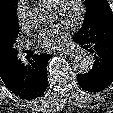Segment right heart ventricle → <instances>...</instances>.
<instances>
[{"label": "right heart ventricle", "instance_id": "e07e8e85", "mask_svg": "<svg viewBox=\"0 0 113 113\" xmlns=\"http://www.w3.org/2000/svg\"><path fill=\"white\" fill-rule=\"evenodd\" d=\"M40 1L43 2V3H45V4H47V5H49V6H53V7L58 2V0H40Z\"/></svg>", "mask_w": 113, "mask_h": 113}]
</instances>
